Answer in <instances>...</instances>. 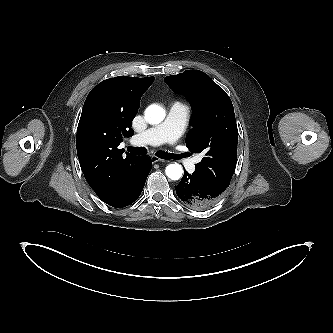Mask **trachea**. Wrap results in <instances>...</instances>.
<instances>
[{
  "mask_svg": "<svg viewBox=\"0 0 333 333\" xmlns=\"http://www.w3.org/2000/svg\"><path fill=\"white\" fill-rule=\"evenodd\" d=\"M127 150L129 152H131L133 155H145L147 154V149L144 147H128ZM156 156H158L161 159H180L182 157H187L186 154H171V153H167V152H162V151H158L156 152Z\"/></svg>",
  "mask_w": 333,
  "mask_h": 333,
  "instance_id": "1",
  "label": "trachea"
}]
</instances>
